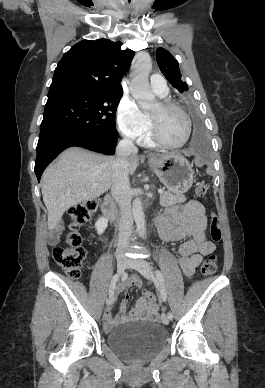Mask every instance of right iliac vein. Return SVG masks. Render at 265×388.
Instances as JSON below:
<instances>
[{
    "mask_svg": "<svg viewBox=\"0 0 265 388\" xmlns=\"http://www.w3.org/2000/svg\"><path fill=\"white\" fill-rule=\"evenodd\" d=\"M128 266V261L124 257L117 258V272L121 275ZM114 303V296H109L106 300V305L109 307Z\"/></svg>",
    "mask_w": 265,
    "mask_h": 388,
    "instance_id": "obj_1",
    "label": "right iliac vein"
}]
</instances>
